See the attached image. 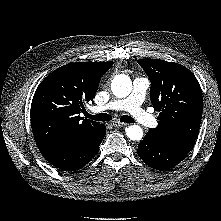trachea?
Wrapping results in <instances>:
<instances>
[{"mask_svg": "<svg viewBox=\"0 0 221 221\" xmlns=\"http://www.w3.org/2000/svg\"><path fill=\"white\" fill-rule=\"evenodd\" d=\"M85 115L87 118H90L96 121H109L112 119V117L106 113H99L97 115H91L89 113H86ZM120 121L125 122V123H133L134 119L131 116L124 115L120 118Z\"/></svg>", "mask_w": 221, "mask_h": 221, "instance_id": "trachea-1", "label": "trachea"}]
</instances>
